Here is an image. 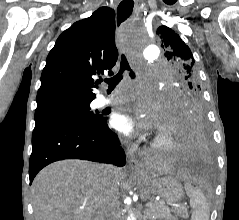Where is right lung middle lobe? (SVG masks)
<instances>
[{
  "mask_svg": "<svg viewBox=\"0 0 239 220\" xmlns=\"http://www.w3.org/2000/svg\"><path fill=\"white\" fill-rule=\"evenodd\" d=\"M102 120L101 115L90 111V102L59 104L36 108L35 123L38 125L60 124L81 128H93Z\"/></svg>",
  "mask_w": 239,
  "mask_h": 220,
  "instance_id": "dd1d6c3e",
  "label": "right lung middle lobe"
}]
</instances>
